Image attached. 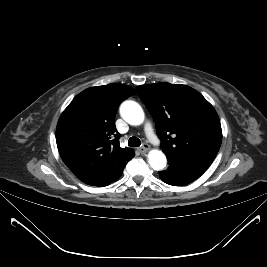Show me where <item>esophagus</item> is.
<instances>
[{
	"instance_id": "esophagus-1",
	"label": "esophagus",
	"mask_w": 267,
	"mask_h": 267,
	"mask_svg": "<svg viewBox=\"0 0 267 267\" xmlns=\"http://www.w3.org/2000/svg\"><path fill=\"white\" fill-rule=\"evenodd\" d=\"M148 149H149V145L145 143V144H143L142 147L139 148V152H140L141 154H144V153L147 152Z\"/></svg>"
}]
</instances>
